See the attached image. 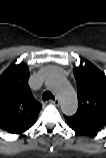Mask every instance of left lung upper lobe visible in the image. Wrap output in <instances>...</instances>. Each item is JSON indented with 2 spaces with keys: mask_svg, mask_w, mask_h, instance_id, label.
<instances>
[{
  "mask_svg": "<svg viewBox=\"0 0 106 158\" xmlns=\"http://www.w3.org/2000/svg\"><path fill=\"white\" fill-rule=\"evenodd\" d=\"M73 72L77 82L78 109L65 120L75 132L91 135L106 127V76L89 61L75 67Z\"/></svg>",
  "mask_w": 106,
  "mask_h": 158,
  "instance_id": "obj_1",
  "label": "left lung upper lobe"
}]
</instances>
